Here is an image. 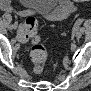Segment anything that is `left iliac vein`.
<instances>
[{
    "mask_svg": "<svg viewBox=\"0 0 91 91\" xmlns=\"http://www.w3.org/2000/svg\"><path fill=\"white\" fill-rule=\"evenodd\" d=\"M82 34V31L80 29H77L76 30V36L80 37Z\"/></svg>",
    "mask_w": 91,
    "mask_h": 91,
    "instance_id": "obj_1",
    "label": "left iliac vein"
}]
</instances>
